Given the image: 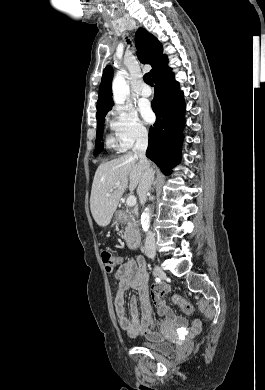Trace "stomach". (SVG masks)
I'll return each mask as SVG.
<instances>
[{
  "mask_svg": "<svg viewBox=\"0 0 265 390\" xmlns=\"http://www.w3.org/2000/svg\"><path fill=\"white\" fill-rule=\"evenodd\" d=\"M115 223H117V218H115V220H114V224H115Z\"/></svg>",
  "mask_w": 265,
  "mask_h": 390,
  "instance_id": "1",
  "label": "stomach"
}]
</instances>
